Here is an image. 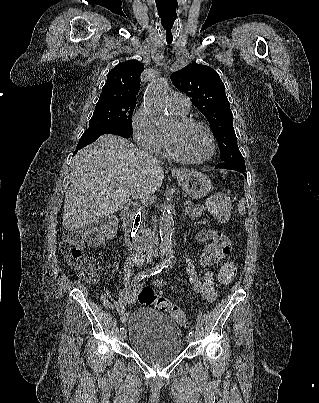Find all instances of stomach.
<instances>
[{
    "mask_svg": "<svg viewBox=\"0 0 319 403\" xmlns=\"http://www.w3.org/2000/svg\"><path fill=\"white\" fill-rule=\"evenodd\" d=\"M176 177L183 191L192 199L204 198L211 191V180L202 172L181 171Z\"/></svg>",
    "mask_w": 319,
    "mask_h": 403,
    "instance_id": "obj_1",
    "label": "stomach"
}]
</instances>
